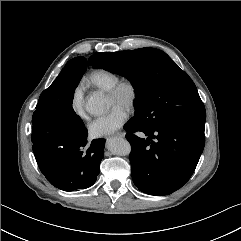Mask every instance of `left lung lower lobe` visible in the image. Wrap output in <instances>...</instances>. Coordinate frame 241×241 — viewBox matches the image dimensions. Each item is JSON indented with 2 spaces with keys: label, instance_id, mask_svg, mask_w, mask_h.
Instances as JSON below:
<instances>
[{
  "label": "left lung lower lobe",
  "instance_id": "left-lung-lower-lobe-1",
  "mask_svg": "<svg viewBox=\"0 0 241 241\" xmlns=\"http://www.w3.org/2000/svg\"><path fill=\"white\" fill-rule=\"evenodd\" d=\"M124 129L132 147V179L140 191L169 195L190 179L204 149L205 123L170 119L151 129L132 118ZM136 131L148 138L137 137Z\"/></svg>",
  "mask_w": 241,
  "mask_h": 241
}]
</instances>
